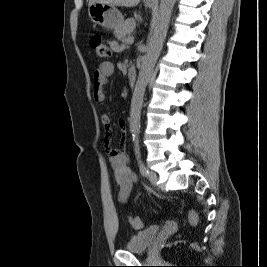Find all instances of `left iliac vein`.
Returning a JSON list of instances; mask_svg holds the SVG:
<instances>
[{
  "label": "left iliac vein",
  "instance_id": "obj_1",
  "mask_svg": "<svg viewBox=\"0 0 267 267\" xmlns=\"http://www.w3.org/2000/svg\"><path fill=\"white\" fill-rule=\"evenodd\" d=\"M148 179L153 185H157L158 175L154 171H148Z\"/></svg>",
  "mask_w": 267,
  "mask_h": 267
}]
</instances>
